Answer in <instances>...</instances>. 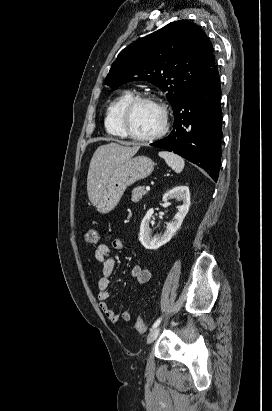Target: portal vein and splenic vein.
Segmentation results:
<instances>
[{
    "instance_id": "1",
    "label": "portal vein and splenic vein",
    "mask_w": 272,
    "mask_h": 411,
    "mask_svg": "<svg viewBox=\"0 0 272 411\" xmlns=\"http://www.w3.org/2000/svg\"><path fill=\"white\" fill-rule=\"evenodd\" d=\"M146 190H150V186H146Z\"/></svg>"
}]
</instances>
